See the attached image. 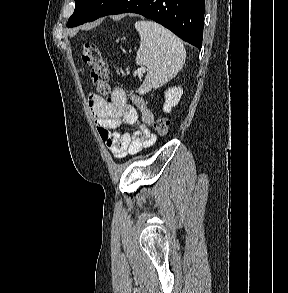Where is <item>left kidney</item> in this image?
Returning a JSON list of instances; mask_svg holds the SVG:
<instances>
[{"mask_svg": "<svg viewBox=\"0 0 288 293\" xmlns=\"http://www.w3.org/2000/svg\"><path fill=\"white\" fill-rule=\"evenodd\" d=\"M183 94V89L181 87H172L165 92V103L163 106V111L169 113L172 107L176 106Z\"/></svg>", "mask_w": 288, "mask_h": 293, "instance_id": "1", "label": "left kidney"}]
</instances>
